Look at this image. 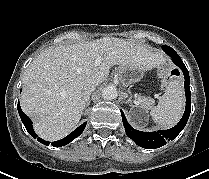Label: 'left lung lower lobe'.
Here are the masks:
<instances>
[{
    "instance_id": "left-lung-lower-lobe-1",
    "label": "left lung lower lobe",
    "mask_w": 209,
    "mask_h": 179,
    "mask_svg": "<svg viewBox=\"0 0 209 179\" xmlns=\"http://www.w3.org/2000/svg\"><path fill=\"white\" fill-rule=\"evenodd\" d=\"M163 50L172 58L174 64H176L184 74L186 108L182 119L176 126L168 130H159L156 132H142L135 130L133 127L129 125L123 111H121L122 121L127 136L130 139H132L138 146L146 149L159 148L165 145L167 141L175 139L178 136V134L182 131V129L185 127L191 112V98H190L191 91L189 87V82H190L189 72L185 67L184 63L182 62L181 58L179 57V55L171 47L166 46V48L164 47Z\"/></svg>"
}]
</instances>
